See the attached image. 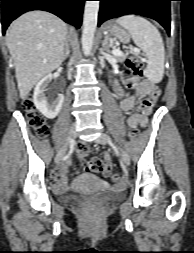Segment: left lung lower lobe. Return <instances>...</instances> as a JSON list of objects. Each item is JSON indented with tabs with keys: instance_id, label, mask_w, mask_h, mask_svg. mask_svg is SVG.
<instances>
[{
	"instance_id": "left-lung-lower-lobe-1",
	"label": "left lung lower lobe",
	"mask_w": 194,
	"mask_h": 253,
	"mask_svg": "<svg viewBox=\"0 0 194 253\" xmlns=\"http://www.w3.org/2000/svg\"><path fill=\"white\" fill-rule=\"evenodd\" d=\"M98 26L106 20L127 14H138L158 21L170 34V1L172 0H99Z\"/></svg>"
}]
</instances>
